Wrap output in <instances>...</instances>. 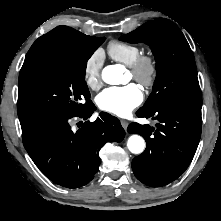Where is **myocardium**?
<instances>
[{
  "label": "myocardium",
  "mask_w": 221,
  "mask_h": 221,
  "mask_svg": "<svg viewBox=\"0 0 221 221\" xmlns=\"http://www.w3.org/2000/svg\"><path fill=\"white\" fill-rule=\"evenodd\" d=\"M134 79L145 87H151L156 81L158 67L151 54H140L129 66Z\"/></svg>",
  "instance_id": "1"
}]
</instances>
